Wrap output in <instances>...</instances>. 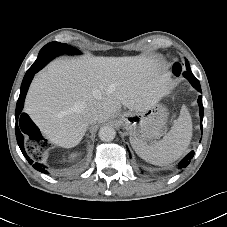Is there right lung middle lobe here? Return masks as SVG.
Segmentation results:
<instances>
[{
  "mask_svg": "<svg viewBox=\"0 0 227 227\" xmlns=\"http://www.w3.org/2000/svg\"><path fill=\"white\" fill-rule=\"evenodd\" d=\"M46 51H51L55 53L56 55L62 54V53H67V54H78L80 53L79 50L75 49L72 46H69L65 43H59V42H51L45 45L41 51L39 52V55L46 52ZM38 55V56H39Z\"/></svg>",
  "mask_w": 227,
  "mask_h": 227,
  "instance_id": "dd1d6c3e",
  "label": "right lung middle lobe"
}]
</instances>
